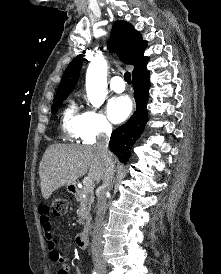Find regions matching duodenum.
<instances>
[{
	"label": "duodenum",
	"mask_w": 221,
	"mask_h": 274,
	"mask_svg": "<svg viewBox=\"0 0 221 274\" xmlns=\"http://www.w3.org/2000/svg\"><path fill=\"white\" fill-rule=\"evenodd\" d=\"M72 193L75 197L80 196V191L78 188H72ZM76 243L80 248H86L88 245V234L86 230H82L76 237Z\"/></svg>",
	"instance_id": "410a0bca"
}]
</instances>
